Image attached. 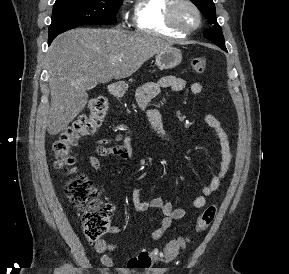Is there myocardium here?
Segmentation results:
<instances>
[{
	"label": "myocardium",
	"mask_w": 289,
	"mask_h": 274,
	"mask_svg": "<svg viewBox=\"0 0 289 274\" xmlns=\"http://www.w3.org/2000/svg\"><path fill=\"white\" fill-rule=\"evenodd\" d=\"M182 4L188 5L196 14L197 22L195 25L191 27H184L177 21L176 10ZM165 18L167 25L171 29L183 35H189L193 33L202 24V13L199 7L192 0H172L171 4H169L167 7Z\"/></svg>",
	"instance_id": "1"
}]
</instances>
